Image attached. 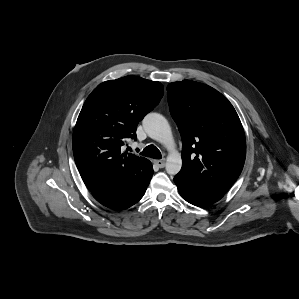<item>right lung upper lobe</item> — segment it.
<instances>
[{
  "instance_id": "1",
  "label": "right lung upper lobe",
  "mask_w": 299,
  "mask_h": 299,
  "mask_svg": "<svg viewBox=\"0 0 299 299\" xmlns=\"http://www.w3.org/2000/svg\"><path fill=\"white\" fill-rule=\"evenodd\" d=\"M160 82L135 76L98 85L86 99L72 137L76 166L90 191L105 192L145 182L151 162L121 152L127 138L136 139L143 117L161 100Z\"/></svg>"
}]
</instances>
